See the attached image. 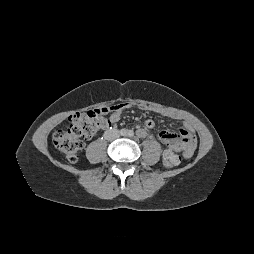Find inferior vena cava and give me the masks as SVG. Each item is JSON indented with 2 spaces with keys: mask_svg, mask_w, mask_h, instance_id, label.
<instances>
[{
  "mask_svg": "<svg viewBox=\"0 0 254 254\" xmlns=\"http://www.w3.org/2000/svg\"><path fill=\"white\" fill-rule=\"evenodd\" d=\"M120 134L116 129H112V130H107L104 133V137L106 140L112 141L115 140L117 138H119Z\"/></svg>",
  "mask_w": 254,
  "mask_h": 254,
  "instance_id": "602c4592",
  "label": "inferior vena cava"
}]
</instances>
